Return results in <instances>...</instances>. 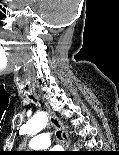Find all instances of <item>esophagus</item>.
Instances as JSON below:
<instances>
[{
    "instance_id": "34e87169",
    "label": "esophagus",
    "mask_w": 119,
    "mask_h": 155,
    "mask_svg": "<svg viewBox=\"0 0 119 155\" xmlns=\"http://www.w3.org/2000/svg\"><path fill=\"white\" fill-rule=\"evenodd\" d=\"M36 99L40 100V96L36 95ZM47 110H48L49 122L51 123L52 126H54L57 130L61 132L63 147L65 151H68L70 147V139H69L68 131L66 130L64 124L57 118V116L50 111L49 107L47 108Z\"/></svg>"
}]
</instances>
